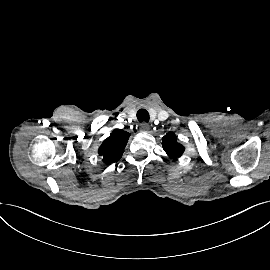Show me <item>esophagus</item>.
Returning <instances> with one entry per match:
<instances>
[{"label": "esophagus", "instance_id": "obj_1", "mask_svg": "<svg viewBox=\"0 0 270 270\" xmlns=\"http://www.w3.org/2000/svg\"><path fill=\"white\" fill-rule=\"evenodd\" d=\"M149 128H150L149 124L144 122V123L141 124L140 130L144 131V132H147L149 130Z\"/></svg>", "mask_w": 270, "mask_h": 270}]
</instances>
